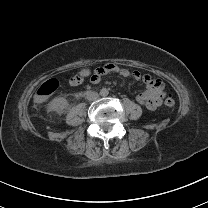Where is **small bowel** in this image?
Wrapping results in <instances>:
<instances>
[{"mask_svg": "<svg viewBox=\"0 0 208 208\" xmlns=\"http://www.w3.org/2000/svg\"><path fill=\"white\" fill-rule=\"evenodd\" d=\"M94 73L95 74H93L91 78L94 83H98L103 75L110 73H118L124 77H136L140 79L146 84L147 90L145 93L138 96V102L150 110L158 107L164 97L163 84L161 81L153 79L147 74L133 73L128 69L119 68L117 63H107L103 67H95Z\"/></svg>", "mask_w": 208, "mask_h": 208, "instance_id": "obj_1", "label": "small bowel"}]
</instances>
